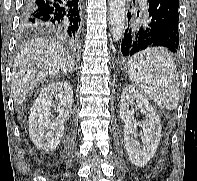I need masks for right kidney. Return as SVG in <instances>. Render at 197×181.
<instances>
[{"label": "right kidney", "mask_w": 197, "mask_h": 181, "mask_svg": "<svg viewBox=\"0 0 197 181\" xmlns=\"http://www.w3.org/2000/svg\"><path fill=\"white\" fill-rule=\"evenodd\" d=\"M56 101L59 103L55 104ZM73 89L67 81L46 86L35 100L29 116V133L34 144L45 151H53L64 133V121L71 112ZM58 113L50 122L51 112Z\"/></svg>", "instance_id": "1"}]
</instances>
